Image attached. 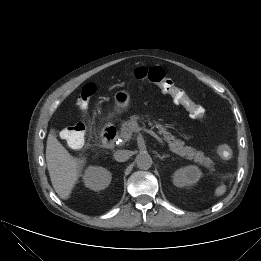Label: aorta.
Returning a JSON list of instances; mask_svg holds the SVG:
<instances>
[{
  "label": "aorta",
  "mask_w": 261,
  "mask_h": 261,
  "mask_svg": "<svg viewBox=\"0 0 261 261\" xmlns=\"http://www.w3.org/2000/svg\"><path fill=\"white\" fill-rule=\"evenodd\" d=\"M137 167L143 170H147L152 166V158L148 153L138 154L136 159Z\"/></svg>",
  "instance_id": "aorta-1"
}]
</instances>
